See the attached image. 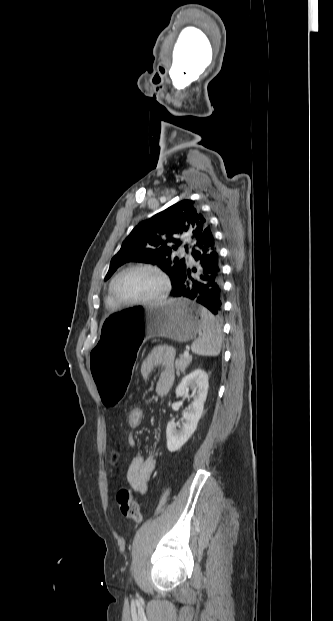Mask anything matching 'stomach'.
I'll return each instance as SVG.
<instances>
[{
	"label": "stomach",
	"instance_id": "obj_1",
	"mask_svg": "<svg viewBox=\"0 0 333 621\" xmlns=\"http://www.w3.org/2000/svg\"><path fill=\"white\" fill-rule=\"evenodd\" d=\"M201 322V307L183 298L107 314L91 354L92 379L103 399L102 409L115 412L129 391L142 341L164 337L188 342L200 332Z\"/></svg>",
	"mask_w": 333,
	"mask_h": 621
}]
</instances>
